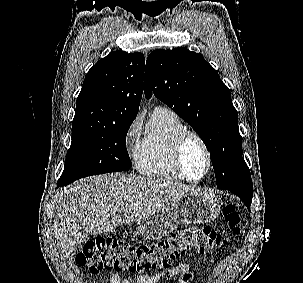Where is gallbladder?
I'll use <instances>...</instances> for the list:
<instances>
[{"label":"gallbladder","instance_id":"1","mask_svg":"<svg viewBox=\"0 0 303 283\" xmlns=\"http://www.w3.org/2000/svg\"><path fill=\"white\" fill-rule=\"evenodd\" d=\"M82 248V245H80L79 247H78V249H81Z\"/></svg>","mask_w":303,"mask_h":283}]
</instances>
